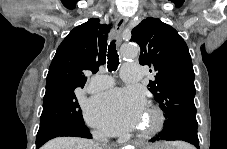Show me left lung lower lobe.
Wrapping results in <instances>:
<instances>
[{"mask_svg":"<svg viewBox=\"0 0 227 149\" xmlns=\"http://www.w3.org/2000/svg\"><path fill=\"white\" fill-rule=\"evenodd\" d=\"M198 123L196 119H184L176 117L168 119L164 123L163 130L150 141L158 140H181L193 144L199 149V139L197 136Z\"/></svg>","mask_w":227,"mask_h":149,"instance_id":"left-lung-lower-lobe-1","label":"left lung lower lobe"}]
</instances>
